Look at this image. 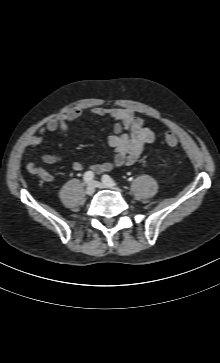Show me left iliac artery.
<instances>
[{
  "label": "left iliac artery",
  "instance_id": "left-iliac-artery-1",
  "mask_svg": "<svg viewBox=\"0 0 220 363\" xmlns=\"http://www.w3.org/2000/svg\"><path fill=\"white\" fill-rule=\"evenodd\" d=\"M102 181L107 184V185H110V186H116L117 183L109 176V175H103L102 176Z\"/></svg>",
  "mask_w": 220,
  "mask_h": 363
}]
</instances>
